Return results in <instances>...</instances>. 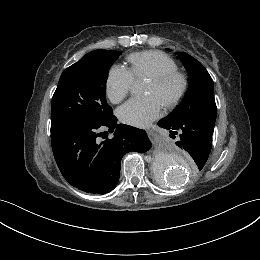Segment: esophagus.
Returning a JSON list of instances; mask_svg holds the SVG:
<instances>
[{
    "label": "esophagus",
    "mask_w": 260,
    "mask_h": 260,
    "mask_svg": "<svg viewBox=\"0 0 260 260\" xmlns=\"http://www.w3.org/2000/svg\"><path fill=\"white\" fill-rule=\"evenodd\" d=\"M147 134L149 136V138L152 140V141H156L158 135H157V132L153 129H148L147 130Z\"/></svg>",
    "instance_id": "obj_1"
}]
</instances>
